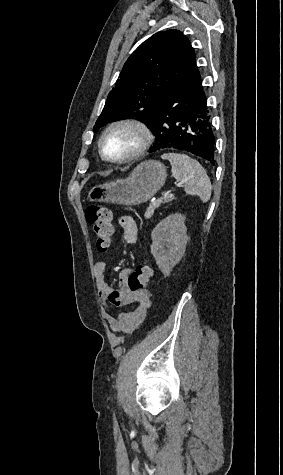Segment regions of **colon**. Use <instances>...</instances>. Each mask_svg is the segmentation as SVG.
Returning <instances> with one entry per match:
<instances>
[{
    "instance_id": "5ec220e1",
    "label": "colon",
    "mask_w": 283,
    "mask_h": 475,
    "mask_svg": "<svg viewBox=\"0 0 283 475\" xmlns=\"http://www.w3.org/2000/svg\"><path fill=\"white\" fill-rule=\"evenodd\" d=\"M96 238V249L99 253L107 252L113 244L114 227L108 206L90 205L85 210ZM152 278V268L147 260L142 261L127 277V288L131 291L140 290L144 283Z\"/></svg>"
}]
</instances>
